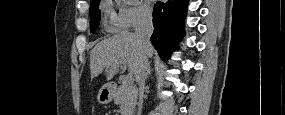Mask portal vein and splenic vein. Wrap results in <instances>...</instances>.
Here are the masks:
<instances>
[{"label": "portal vein and splenic vein", "instance_id": "18ae733b", "mask_svg": "<svg viewBox=\"0 0 285 115\" xmlns=\"http://www.w3.org/2000/svg\"><path fill=\"white\" fill-rule=\"evenodd\" d=\"M121 65L125 66L126 63H125V62H122ZM132 81H133V76H132V74H128V75L123 79V84H125V85H131Z\"/></svg>", "mask_w": 285, "mask_h": 115}]
</instances>
